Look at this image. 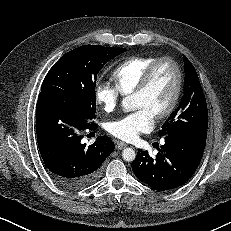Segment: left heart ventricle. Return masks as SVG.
Wrapping results in <instances>:
<instances>
[{
  "label": "left heart ventricle",
  "instance_id": "obj_1",
  "mask_svg": "<svg viewBox=\"0 0 231 231\" xmlns=\"http://www.w3.org/2000/svg\"><path fill=\"white\" fill-rule=\"evenodd\" d=\"M175 72L173 67L163 62L157 66L151 82L144 93L133 95L135 108H147L153 115L169 103L174 87Z\"/></svg>",
  "mask_w": 231,
  "mask_h": 231
}]
</instances>
